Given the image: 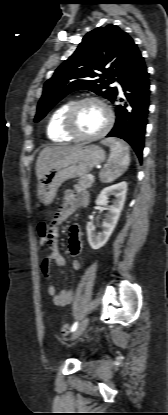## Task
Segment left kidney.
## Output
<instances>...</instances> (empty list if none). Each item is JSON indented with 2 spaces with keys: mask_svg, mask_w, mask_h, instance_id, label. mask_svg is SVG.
<instances>
[{
  "mask_svg": "<svg viewBox=\"0 0 168 415\" xmlns=\"http://www.w3.org/2000/svg\"><path fill=\"white\" fill-rule=\"evenodd\" d=\"M127 193V183L120 182L118 184L104 188L96 199L97 205L107 206L110 195L115 197L113 204L107 206L108 213L102 222V231L96 233L92 222L86 225L87 237L89 245L92 249L97 250L103 247L109 240L114 228L117 225L121 211L123 209Z\"/></svg>",
  "mask_w": 168,
  "mask_h": 415,
  "instance_id": "obj_1",
  "label": "left kidney"
}]
</instances>
